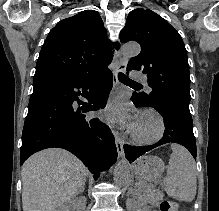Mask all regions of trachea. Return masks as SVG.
I'll return each mask as SVG.
<instances>
[{
    "mask_svg": "<svg viewBox=\"0 0 219 211\" xmlns=\"http://www.w3.org/2000/svg\"><path fill=\"white\" fill-rule=\"evenodd\" d=\"M118 78L119 81H121V83L130 85V84H137V82H133V80H131L130 78H128V76L124 75V73H119L118 74Z\"/></svg>",
    "mask_w": 219,
    "mask_h": 211,
    "instance_id": "obj_1",
    "label": "trachea"
}]
</instances>
